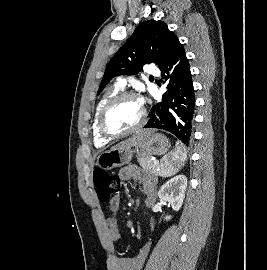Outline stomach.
Wrapping results in <instances>:
<instances>
[{
  "instance_id": "1",
  "label": "stomach",
  "mask_w": 267,
  "mask_h": 270,
  "mask_svg": "<svg viewBox=\"0 0 267 270\" xmlns=\"http://www.w3.org/2000/svg\"><path fill=\"white\" fill-rule=\"evenodd\" d=\"M170 147L171 144L166 136L160 133H153L143 142L134 146V148L122 147L102 152L97 157L96 165L101 169L110 170L129 164L134 153L140 158H145L152 155H163Z\"/></svg>"
}]
</instances>
